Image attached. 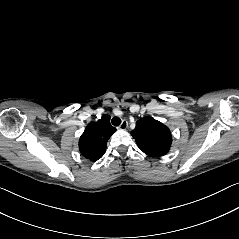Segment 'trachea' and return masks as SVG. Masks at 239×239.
I'll return each instance as SVG.
<instances>
[{
	"label": "trachea",
	"instance_id": "trachea-1",
	"mask_svg": "<svg viewBox=\"0 0 239 239\" xmlns=\"http://www.w3.org/2000/svg\"><path fill=\"white\" fill-rule=\"evenodd\" d=\"M111 122H112V124H113L114 126H118V125L121 124V119L118 118V117H114V118L111 120Z\"/></svg>",
	"mask_w": 239,
	"mask_h": 239
}]
</instances>
